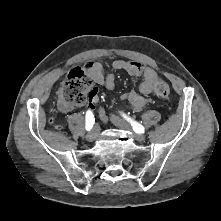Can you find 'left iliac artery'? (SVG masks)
I'll use <instances>...</instances> for the list:
<instances>
[{"label": "left iliac artery", "instance_id": "1", "mask_svg": "<svg viewBox=\"0 0 221 221\" xmlns=\"http://www.w3.org/2000/svg\"><path fill=\"white\" fill-rule=\"evenodd\" d=\"M124 117L131 123V126L133 127V130L136 133H144L145 132V128L140 123L133 121L126 116H124Z\"/></svg>", "mask_w": 221, "mask_h": 221}]
</instances>
